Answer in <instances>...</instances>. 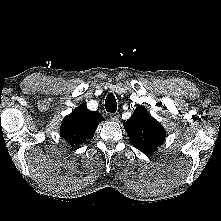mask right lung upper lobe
<instances>
[{
	"mask_svg": "<svg viewBox=\"0 0 221 221\" xmlns=\"http://www.w3.org/2000/svg\"><path fill=\"white\" fill-rule=\"evenodd\" d=\"M103 120L98 112L90 111L82 104L65 117L60 134L70 145H78L93 138L98 124Z\"/></svg>",
	"mask_w": 221,
	"mask_h": 221,
	"instance_id": "right-lung-upper-lobe-1",
	"label": "right lung upper lobe"
}]
</instances>
